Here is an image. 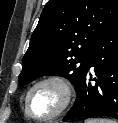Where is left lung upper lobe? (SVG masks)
Listing matches in <instances>:
<instances>
[{
  "label": "left lung upper lobe",
  "instance_id": "left-lung-upper-lobe-1",
  "mask_svg": "<svg viewBox=\"0 0 118 123\" xmlns=\"http://www.w3.org/2000/svg\"><path fill=\"white\" fill-rule=\"evenodd\" d=\"M116 19L118 0H49L23 57L19 84L59 75L77 92L95 43Z\"/></svg>",
  "mask_w": 118,
  "mask_h": 123
}]
</instances>
